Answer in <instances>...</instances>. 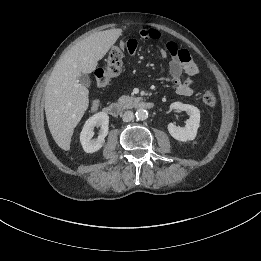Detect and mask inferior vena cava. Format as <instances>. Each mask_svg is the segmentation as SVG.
Listing matches in <instances>:
<instances>
[{"instance_id": "602c4592", "label": "inferior vena cava", "mask_w": 261, "mask_h": 261, "mask_svg": "<svg viewBox=\"0 0 261 261\" xmlns=\"http://www.w3.org/2000/svg\"><path fill=\"white\" fill-rule=\"evenodd\" d=\"M122 119L124 122H130L131 120L134 119V114L132 111H126L122 115Z\"/></svg>"}]
</instances>
